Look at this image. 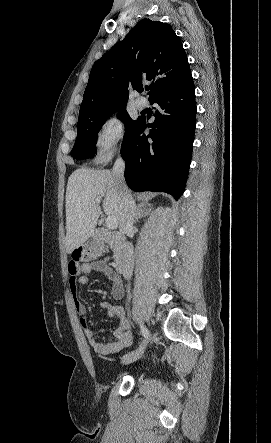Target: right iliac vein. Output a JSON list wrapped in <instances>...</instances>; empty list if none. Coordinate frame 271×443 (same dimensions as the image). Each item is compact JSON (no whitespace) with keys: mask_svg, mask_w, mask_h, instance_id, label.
Here are the masks:
<instances>
[{"mask_svg":"<svg viewBox=\"0 0 271 443\" xmlns=\"http://www.w3.org/2000/svg\"><path fill=\"white\" fill-rule=\"evenodd\" d=\"M145 345H146V343H145V341H143L140 344L138 349L125 354L121 359V363L126 365V364H130V363H133L134 361L138 360L144 352Z\"/></svg>","mask_w":271,"mask_h":443,"instance_id":"right-iliac-vein-1","label":"right iliac vein"}]
</instances>
